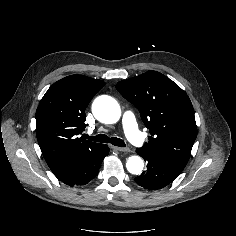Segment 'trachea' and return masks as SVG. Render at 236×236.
Instances as JSON below:
<instances>
[{
	"label": "trachea",
	"instance_id": "1",
	"mask_svg": "<svg viewBox=\"0 0 236 236\" xmlns=\"http://www.w3.org/2000/svg\"><path fill=\"white\" fill-rule=\"evenodd\" d=\"M87 139L95 141V142L111 143L115 146L125 147L124 141L121 140L120 138H116V137L109 138L105 134H99V135H96V136H93V137L92 136H87Z\"/></svg>",
	"mask_w": 236,
	"mask_h": 236
}]
</instances>
